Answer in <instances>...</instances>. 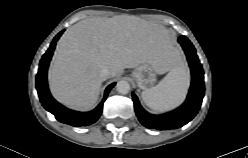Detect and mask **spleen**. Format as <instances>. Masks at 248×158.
<instances>
[{"instance_id": "1", "label": "spleen", "mask_w": 248, "mask_h": 158, "mask_svg": "<svg viewBox=\"0 0 248 158\" xmlns=\"http://www.w3.org/2000/svg\"><path fill=\"white\" fill-rule=\"evenodd\" d=\"M190 75L185 65L178 61L170 72L154 87L141 93L144 103L155 111H168L185 99Z\"/></svg>"}]
</instances>
